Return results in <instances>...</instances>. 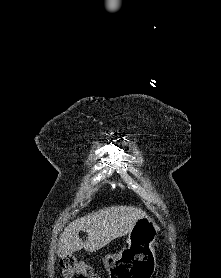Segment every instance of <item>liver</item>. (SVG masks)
Returning <instances> with one entry per match:
<instances>
[{
    "mask_svg": "<svg viewBox=\"0 0 221 278\" xmlns=\"http://www.w3.org/2000/svg\"><path fill=\"white\" fill-rule=\"evenodd\" d=\"M147 216L133 206H111L72 221L64 230L58 245V255L64 257L84 248L95 252L114 239L128 234L137 220ZM80 231H86L87 240L82 241Z\"/></svg>",
    "mask_w": 221,
    "mask_h": 278,
    "instance_id": "6515ba94",
    "label": "liver"
}]
</instances>
